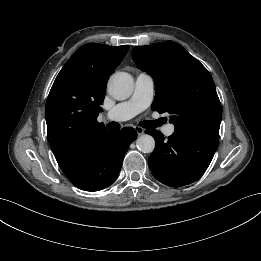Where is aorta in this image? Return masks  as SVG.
<instances>
[{"instance_id":"obj_1","label":"aorta","mask_w":261,"mask_h":261,"mask_svg":"<svg viewBox=\"0 0 261 261\" xmlns=\"http://www.w3.org/2000/svg\"><path fill=\"white\" fill-rule=\"evenodd\" d=\"M107 88L114 99L125 100L133 93V78L126 72H116L110 77ZM136 146L143 153H151L155 148V140L152 136L143 134L137 138Z\"/></svg>"}]
</instances>
